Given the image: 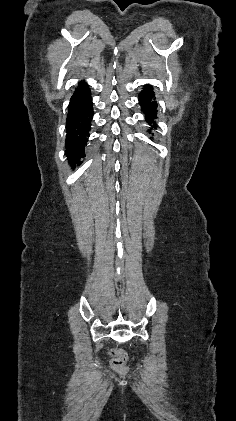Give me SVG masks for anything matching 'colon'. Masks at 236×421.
Segmentation results:
<instances>
[{
	"label": "colon",
	"instance_id": "obj_1",
	"mask_svg": "<svg viewBox=\"0 0 236 421\" xmlns=\"http://www.w3.org/2000/svg\"><path fill=\"white\" fill-rule=\"evenodd\" d=\"M112 359L111 365L112 368L118 373H125L127 371V355L122 350L111 349L109 351Z\"/></svg>",
	"mask_w": 236,
	"mask_h": 421
}]
</instances>
